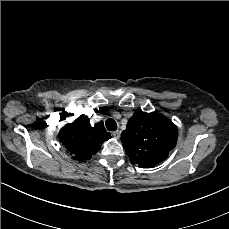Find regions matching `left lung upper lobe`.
<instances>
[{"label": "left lung upper lobe", "mask_w": 229, "mask_h": 229, "mask_svg": "<svg viewBox=\"0 0 229 229\" xmlns=\"http://www.w3.org/2000/svg\"><path fill=\"white\" fill-rule=\"evenodd\" d=\"M178 130L175 124L158 112H134L121 141L131 162L140 168H152L168 158L176 146Z\"/></svg>", "instance_id": "left-lung-upper-lobe-1"}]
</instances>
